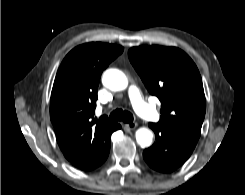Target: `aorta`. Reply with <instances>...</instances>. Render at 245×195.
<instances>
[{
	"mask_svg": "<svg viewBox=\"0 0 245 195\" xmlns=\"http://www.w3.org/2000/svg\"><path fill=\"white\" fill-rule=\"evenodd\" d=\"M103 85L112 91L124 90L128 85L125 74L118 69H107L102 76ZM153 133L147 128H139L136 131V141L141 147H149L152 144Z\"/></svg>",
	"mask_w": 245,
	"mask_h": 195,
	"instance_id": "1",
	"label": "aorta"
}]
</instances>
